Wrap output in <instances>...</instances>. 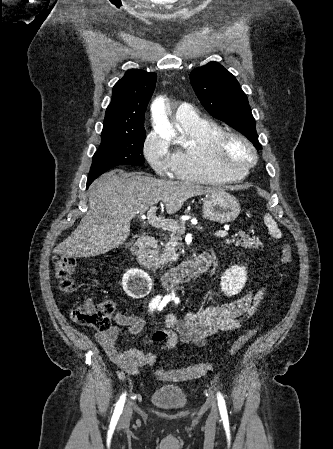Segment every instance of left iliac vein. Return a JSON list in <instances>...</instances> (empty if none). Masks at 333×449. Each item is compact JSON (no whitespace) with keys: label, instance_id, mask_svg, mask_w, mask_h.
<instances>
[{"label":"left iliac vein","instance_id":"obj_1","mask_svg":"<svg viewBox=\"0 0 333 449\" xmlns=\"http://www.w3.org/2000/svg\"><path fill=\"white\" fill-rule=\"evenodd\" d=\"M218 418V410L215 404L212 405L210 419L216 420Z\"/></svg>","mask_w":333,"mask_h":449}]
</instances>
